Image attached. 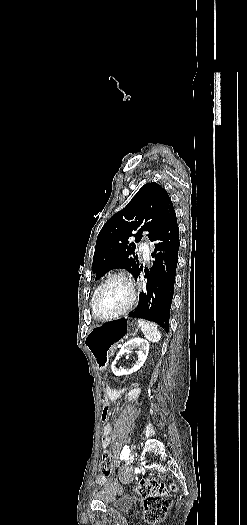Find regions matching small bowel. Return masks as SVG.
Wrapping results in <instances>:
<instances>
[{
    "label": "small bowel",
    "instance_id": "small-bowel-1",
    "mask_svg": "<svg viewBox=\"0 0 247 525\" xmlns=\"http://www.w3.org/2000/svg\"><path fill=\"white\" fill-rule=\"evenodd\" d=\"M121 394H122L121 390L113 388V387H108V388L105 389V393H104V398L103 399H111L112 402H113L114 400L119 398ZM111 435H112V426H111L110 423L107 422L103 426L102 438H101V443H102V446H103L104 449H108L110 447V445H111ZM112 459H113V462L115 464H119V462H120V453H119V449L118 448H115L113 450ZM96 482L99 485H102V484H104L106 482V479H105L104 476L98 475L96 477Z\"/></svg>",
    "mask_w": 247,
    "mask_h": 525
}]
</instances>
